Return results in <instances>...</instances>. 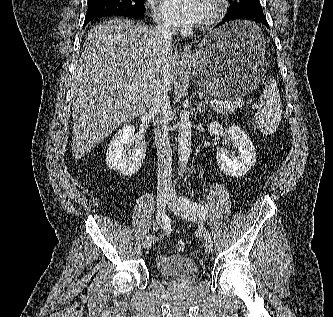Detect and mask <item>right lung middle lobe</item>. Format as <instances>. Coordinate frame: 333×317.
I'll use <instances>...</instances> for the list:
<instances>
[{
    "instance_id": "obj_1",
    "label": "right lung middle lobe",
    "mask_w": 333,
    "mask_h": 317,
    "mask_svg": "<svg viewBox=\"0 0 333 317\" xmlns=\"http://www.w3.org/2000/svg\"><path fill=\"white\" fill-rule=\"evenodd\" d=\"M144 0H88L86 16L144 14Z\"/></svg>"
}]
</instances>
